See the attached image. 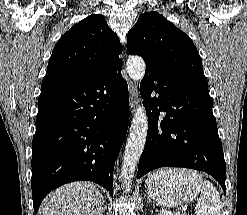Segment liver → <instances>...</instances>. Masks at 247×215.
<instances>
[{
	"label": "liver",
	"mask_w": 247,
	"mask_h": 215,
	"mask_svg": "<svg viewBox=\"0 0 247 215\" xmlns=\"http://www.w3.org/2000/svg\"><path fill=\"white\" fill-rule=\"evenodd\" d=\"M104 197L96 185L73 182L50 193L41 205L42 215H101Z\"/></svg>",
	"instance_id": "1"
}]
</instances>
